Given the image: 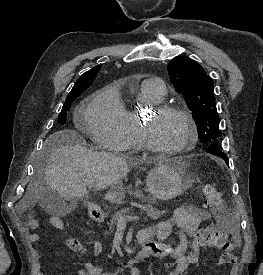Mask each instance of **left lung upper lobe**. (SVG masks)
Wrapping results in <instances>:
<instances>
[{"mask_svg":"<svg viewBox=\"0 0 263 275\" xmlns=\"http://www.w3.org/2000/svg\"><path fill=\"white\" fill-rule=\"evenodd\" d=\"M168 73L177 92L184 95L192 111L200 141L209 146L219 144V116L213 92V80L200 64L180 56L168 64Z\"/></svg>","mask_w":263,"mask_h":275,"instance_id":"obj_1","label":"left lung upper lobe"}]
</instances>
